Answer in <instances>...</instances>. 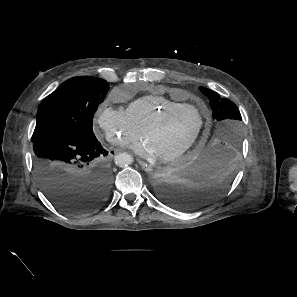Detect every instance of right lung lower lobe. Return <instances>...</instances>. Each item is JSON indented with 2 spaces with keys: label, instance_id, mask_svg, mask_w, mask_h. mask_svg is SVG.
I'll return each mask as SVG.
<instances>
[{
  "label": "right lung lower lobe",
  "instance_id": "1",
  "mask_svg": "<svg viewBox=\"0 0 297 297\" xmlns=\"http://www.w3.org/2000/svg\"><path fill=\"white\" fill-rule=\"evenodd\" d=\"M34 166L40 186L59 210L90 213L107 200L112 172L108 152L95 139L73 132H54L32 139Z\"/></svg>",
  "mask_w": 297,
  "mask_h": 297
}]
</instances>
